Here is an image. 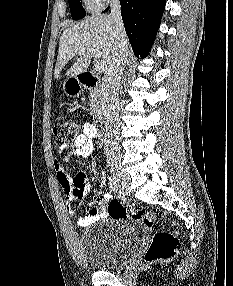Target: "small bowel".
<instances>
[{"label":"small bowel","instance_id":"small-bowel-1","mask_svg":"<svg viewBox=\"0 0 233 286\" xmlns=\"http://www.w3.org/2000/svg\"><path fill=\"white\" fill-rule=\"evenodd\" d=\"M98 137L97 128L90 124L84 123L82 133L70 144H61L58 147V152L63 153L69 148L74 149V154L79 157H89L93 152V139ZM53 167L56 173L58 184L65 195V204L68 213L74 218L77 225L87 227L98 222L102 218L99 212L103 203L111 198L110 194H104L98 201L90 202L86 208V215L78 216L72 208V204L83 199L88 191V179L84 173H78L72 177L63 167L61 161L57 158L53 160Z\"/></svg>","mask_w":233,"mask_h":286}]
</instances>
